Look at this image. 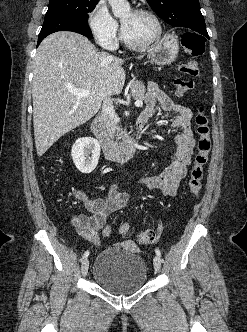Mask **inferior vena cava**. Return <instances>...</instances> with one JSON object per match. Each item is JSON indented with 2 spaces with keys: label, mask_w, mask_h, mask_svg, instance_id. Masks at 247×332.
I'll list each match as a JSON object with an SVG mask.
<instances>
[{
  "label": "inferior vena cava",
  "mask_w": 247,
  "mask_h": 332,
  "mask_svg": "<svg viewBox=\"0 0 247 332\" xmlns=\"http://www.w3.org/2000/svg\"><path fill=\"white\" fill-rule=\"evenodd\" d=\"M102 118L104 121L105 129L108 133V136L112 140L114 138V133L116 129V113L113 106V101L109 97L103 102L102 106Z\"/></svg>",
  "instance_id": "obj_1"
}]
</instances>
